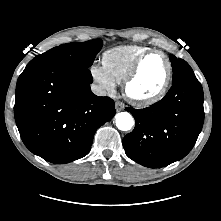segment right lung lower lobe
I'll list each match as a JSON object with an SVG mask.
<instances>
[{"label": "right lung lower lobe", "instance_id": "98d812e1", "mask_svg": "<svg viewBox=\"0 0 221 221\" xmlns=\"http://www.w3.org/2000/svg\"><path fill=\"white\" fill-rule=\"evenodd\" d=\"M87 67L29 63L19 76L15 121L25 146L56 164L87 155L96 130L115 115L109 97L91 92Z\"/></svg>", "mask_w": 221, "mask_h": 221}]
</instances>
